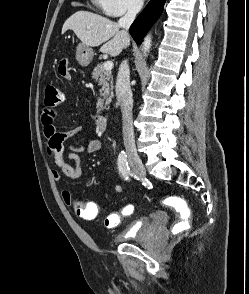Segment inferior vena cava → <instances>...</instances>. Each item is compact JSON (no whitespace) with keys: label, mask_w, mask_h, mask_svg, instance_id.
<instances>
[{"label":"inferior vena cava","mask_w":249,"mask_h":294,"mask_svg":"<svg viewBox=\"0 0 249 294\" xmlns=\"http://www.w3.org/2000/svg\"><path fill=\"white\" fill-rule=\"evenodd\" d=\"M142 6V0H133L128 8L127 13L118 21V26L123 29L122 31L127 37L126 46L129 45L128 29L136 18V15L141 10ZM129 75V65L127 63V60H124L119 67L115 91L122 112V131L124 145L126 148H134L135 139L132 118L133 98L130 88Z\"/></svg>","instance_id":"inferior-vena-cava-1"}]
</instances>
